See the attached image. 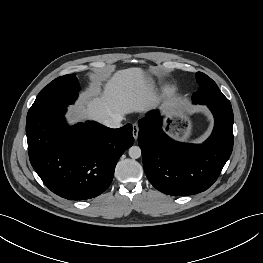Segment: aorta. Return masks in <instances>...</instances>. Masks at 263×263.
Segmentation results:
<instances>
[{
  "mask_svg": "<svg viewBox=\"0 0 263 263\" xmlns=\"http://www.w3.org/2000/svg\"><path fill=\"white\" fill-rule=\"evenodd\" d=\"M128 153L132 159H137L141 156V149L139 146H132L129 148Z\"/></svg>",
  "mask_w": 263,
  "mask_h": 263,
  "instance_id": "obj_1",
  "label": "aorta"
}]
</instances>
